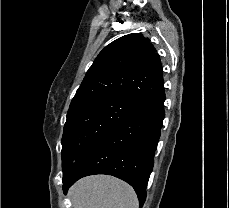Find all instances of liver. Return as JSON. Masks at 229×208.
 <instances>
[{"mask_svg": "<svg viewBox=\"0 0 229 208\" xmlns=\"http://www.w3.org/2000/svg\"><path fill=\"white\" fill-rule=\"evenodd\" d=\"M73 208H139L131 186L112 176H88L69 190Z\"/></svg>", "mask_w": 229, "mask_h": 208, "instance_id": "obj_1", "label": "liver"}]
</instances>
